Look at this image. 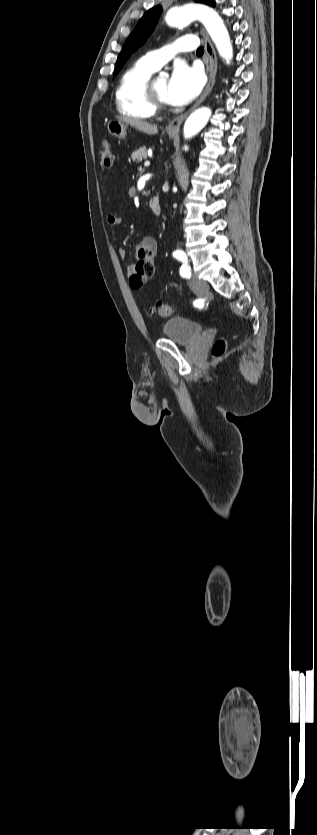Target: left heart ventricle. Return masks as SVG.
<instances>
[{
    "label": "left heart ventricle",
    "mask_w": 317,
    "mask_h": 835,
    "mask_svg": "<svg viewBox=\"0 0 317 835\" xmlns=\"http://www.w3.org/2000/svg\"><path fill=\"white\" fill-rule=\"evenodd\" d=\"M154 88L161 99L167 102L168 80L157 78L154 81Z\"/></svg>",
    "instance_id": "left-heart-ventricle-1"
}]
</instances>
